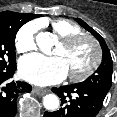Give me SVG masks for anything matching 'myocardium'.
I'll return each instance as SVG.
<instances>
[{
  "mask_svg": "<svg viewBox=\"0 0 117 117\" xmlns=\"http://www.w3.org/2000/svg\"><path fill=\"white\" fill-rule=\"evenodd\" d=\"M87 40L93 48V60L80 72H70L69 77L74 81H82L91 76L99 67L102 60V51L99 42L88 33H78L61 39V44L65 49H71L79 42Z\"/></svg>",
  "mask_w": 117,
  "mask_h": 117,
  "instance_id": "1",
  "label": "myocardium"
}]
</instances>
